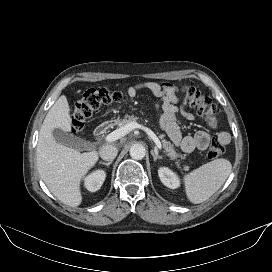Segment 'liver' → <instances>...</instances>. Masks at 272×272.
Here are the masks:
<instances>
[{
    "label": "liver",
    "instance_id": "liver-1",
    "mask_svg": "<svg viewBox=\"0 0 272 272\" xmlns=\"http://www.w3.org/2000/svg\"><path fill=\"white\" fill-rule=\"evenodd\" d=\"M70 106L65 95L48 111L39 132L36 161L39 174L50 192L62 203L77 207L82 202L80 184L98 160V152L80 153L58 143L54 129L71 130Z\"/></svg>",
    "mask_w": 272,
    "mask_h": 272
}]
</instances>
